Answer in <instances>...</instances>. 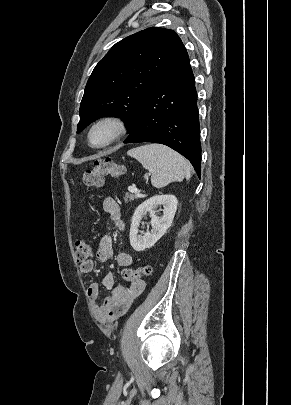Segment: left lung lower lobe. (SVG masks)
I'll return each mask as SVG.
<instances>
[{"mask_svg":"<svg viewBox=\"0 0 291 405\" xmlns=\"http://www.w3.org/2000/svg\"><path fill=\"white\" fill-rule=\"evenodd\" d=\"M195 78L184 47L145 96L140 118L124 143L164 144L186 157L201 175Z\"/></svg>","mask_w":291,"mask_h":405,"instance_id":"1","label":"left lung lower lobe"}]
</instances>
